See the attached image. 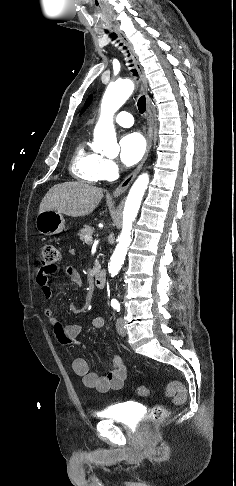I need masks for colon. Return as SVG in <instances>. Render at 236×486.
<instances>
[{"label":"colon","instance_id":"obj_1","mask_svg":"<svg viewBox=\"0 0 236 486\" xmlns=\"http://www.w3.org/2000/svg\"><path fill=\"white\" fill-rule=\"evenodd\" d=\"M59 257L60 253L56 246L52 244L44 245L42 247L40 257L41 268L47 271L54 269L56 267V263L59 260ZM136 392L139 396L142 397L149 396L151 393L150 389L147 386H138ZM164 394L167 397H171L174 404L176 405L184 404L187 399V390L185 386L179 381L169 382L165 386ZM168 415L169 411L166 407L162 405H156L152 407L144 424V429L146 431H150L154 426L163 422Z\"/></svg>","mask_w":236,"mask_h":486}]
</instances>
